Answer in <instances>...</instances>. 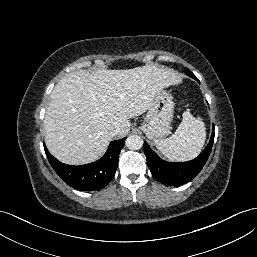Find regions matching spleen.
<instances>
[{"mask_svg": "<svg viewBox=\"0 0 257 257\" xmlns=\"http://www.w3.org/2000/svg\"><path fill=\"white\" fill-rule=\"evenodd\" d=\"M175 133L165 140H155L157 149L168 159L174 161L190 160L202 150L205 139V124L200 118H195L188 111Z\"/></svg>", "mask_w": 257, "mask_h": 257, "instance_id": "3e777b00", "label": "spleen"}]
</instances>
